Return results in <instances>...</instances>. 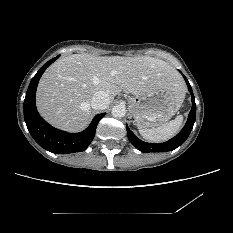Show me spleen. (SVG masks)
<instances>
[{
	"instance_id": "3e777b00",
	"label": "spleen",
	"mask_w": 233,
	"mask_h": 233,
	"mask_svg": "<svg viewBox=\"0 0 233 233\" xmlns=\"http://www.w3.org/2000/svg\"><path fill=\"white\" fill-rule=\"evenodd\" d=\"M183 122V116L179 115L174 120L163 124L157 128L139 129L141 136L150 142H163L173 137L180 129Z\"/></svg>"
}]
</instances>
